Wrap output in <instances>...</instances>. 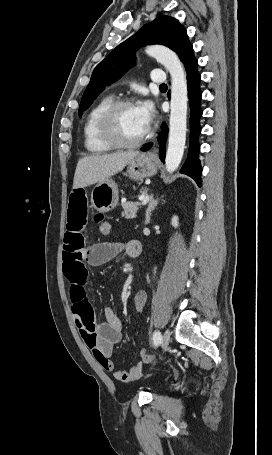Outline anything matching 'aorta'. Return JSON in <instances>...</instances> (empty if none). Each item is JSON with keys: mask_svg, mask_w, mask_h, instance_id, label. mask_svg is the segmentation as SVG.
Returning <instances> with one entry per match:
<instances>
[{"mask_svg": "<svg viewBox=\"0 0 272 455\" xmlns=\"http://www.w3.org/2000/svg\"><path fill=\"white\" fill-rule=\"evenodd\" d=\"M146 54L159 61L171 76L169 142L165 166L173 173L180 165L186 141L188 90L184 67L175 52L161 45H151Z\"/></svg>", "mask_w": 272, "mask_h": 455, "instance_id": "762f6f07", "label": "aorta"}]
</instances>
